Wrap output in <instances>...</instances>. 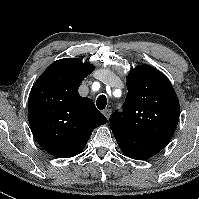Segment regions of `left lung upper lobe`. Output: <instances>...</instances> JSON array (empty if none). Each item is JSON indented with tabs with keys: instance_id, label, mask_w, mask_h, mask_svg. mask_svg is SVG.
Instances as JSON below:
<instances>
[{
	"instance_id": "1",
	"label": "left lung upper lobe",
	"mask_w": 199,
	"mask_h": 199,
	"mask_svg": "<svg viewBox=\"0 0 199 199\" xmlns=\"http://www.w3.org/2000/svg\"><path fill=\"white\" fill-rule=\"evenodd\" d=\"M124 112H113L110 128H123L166 144L173 137L180 114L177 95L168 78L156 68L140 65L127 76Z\"/></svg>"
}]
</instances>
